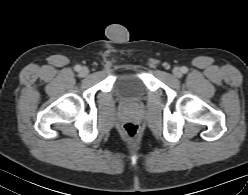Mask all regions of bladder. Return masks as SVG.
<instances>
[{
    "instance_id": "1",
    "label": "bladder",
    "mask_w": 248,
    "mask_h": 195,
    "mask_svg": "<svg viewBox=\"0 0 248 195\" xmlns=\"http://www.w3.org/2000/svg\"><path fill=\"white\" fill-rule=\"evenodd\" d=\"M120 95L126 99H136L145 95L146 86L139 73L129 72L117 80Z\"/></svg>"
}]
</instances>
